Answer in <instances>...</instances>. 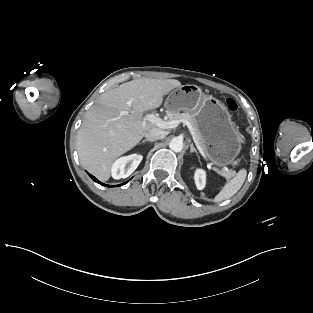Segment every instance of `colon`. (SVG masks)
I'll list each match as a JSON object with an SVG mask.
<instances>
[{
	"mask_svg": "<svg viewBox=\"0 0 313 313\" xmlns=\"http://www.w3.org/2000/svg\"><path fill=\"white\" fill-rule=\"evenodd\" d=\"M225 105L229 111H235L237 109V104L233 99H227Z\"/></svg>",
	"mask_w": 313,
	"mask_h": 313,
	"instance_id": "1",
	"label": "colon"
}]
</instances>
